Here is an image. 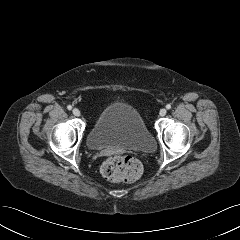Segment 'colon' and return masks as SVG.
Masks as SVG:
<instances>
[{
  "mask_svg": "<svg viewBox=\"0 0 240 240\" xmlns=\"http://www.w3.org/2000/svg\"><path fill=\"white\" fill-rule=\"evenodd\" d=\"M142 172L141 164L131 156H109L101 166L102 175L114 182H132L137 180Z\"/></svg>",
  "mask_w": 240,
  "mask_h": 240,
  "instance_id": "colon-1",
  "label": "colon"
}]
</instances>
